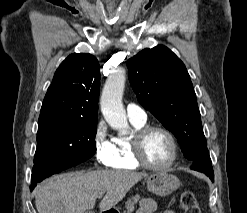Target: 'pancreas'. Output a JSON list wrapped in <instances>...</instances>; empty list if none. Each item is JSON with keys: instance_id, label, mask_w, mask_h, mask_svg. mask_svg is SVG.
I'll return each instance as SVG.
<instances>
[{"instance_id": "1", "label": "pancreas", "mask_w": 247, "mask_h": 213, "mask_svg": "<svg viewBox=\"0 0 247 213\" xmlns=\"http://www.w3.org/2000/svg\"><path fill=\"white\" fill-rule=\"evenodd\" d=\"M139 200L140 196H134L127 200L125 206L126 210L123 213H133V211L135 210V204H137Z\"/></svg>"}]
</instances>
